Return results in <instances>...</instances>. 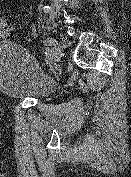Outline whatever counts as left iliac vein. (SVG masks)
<instances>
[{
    "label": "left iliac vein",
    "instance_id": "obj_1",
    "mask_svg": "<svg viewBox=\"0 0 131 177\" xmlns=\"http://www.w3.org/2000/svg\"><path fill=\"white\" fill-rule=\"evenodd\" d=\"M51 53L53 62L58 63L62 58L61 47L58 45H54L53 48L51 49Z\"/></svg>",
    "mask_w": 131,
    "mask_h": 177
}]
</instances>
